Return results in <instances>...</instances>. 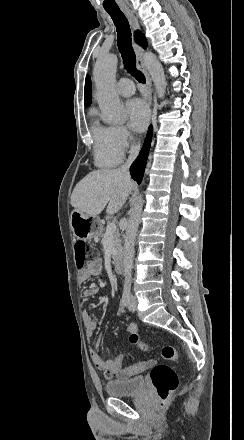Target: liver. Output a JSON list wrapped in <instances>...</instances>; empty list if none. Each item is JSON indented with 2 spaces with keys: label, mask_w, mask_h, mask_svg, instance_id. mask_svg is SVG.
Wrapping results in <instances>:
<instances>
[{
  "label": "liver",
  "mask_w": 244,
  "mask_h": 440,
  "mask_svg": "<svg viewBox=\"0 0 244 440\" xmlns=\"http://www.w3.org/2000/svg\"><path fill=\"white\" fill-rule=\"evenodd\" d=\"M132 182L120 170H95L76 184L70 204L79 212L99 216L104 208L106 214H117L132 192Z\"/></svg>",
  "instance_id": "obj_1"
}]
</instances>
